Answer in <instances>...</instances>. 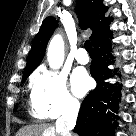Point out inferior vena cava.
<instances>
[{
	"label": "inferior vena cava",
	"instance_id": "1",
	"mask_svg": "<svg viewBox=\"0 0 136 136\" xmlns=\"http://www.w3.org/2000/svg\"><path fill=\"white\" fill-rule=\"evenodd\" d=\"M80 105L69 103L62 116L56 121V131L60 136H71L70 131L75 127Z\"/></svg>",
	"mask_w": 136,
	"mask_h": 136
}]
</instances>
